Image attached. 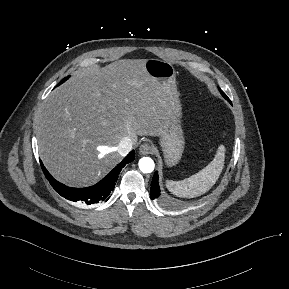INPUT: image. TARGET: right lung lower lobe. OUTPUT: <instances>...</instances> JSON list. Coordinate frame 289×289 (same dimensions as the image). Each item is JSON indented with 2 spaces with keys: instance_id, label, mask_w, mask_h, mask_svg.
I'll use <instances>...</instances> for the list:
<instances>
[{
  "instance_id": "98d812e1",
  "label": "right lung lower lobe",
  "mask_w": 289,
  "mask_h": 289,
  "mask_svg": "<svg viewBox=\"0 0 289 289\" xmlns=\"http://www.w3.org/2000/svg\"><path fill=\"white\" fill-rule=\"evenodd\" d=\"M135 151H131L106 177L97 184L86 188H71L56 181L41 162L42 171L51 186L64 198L87 205L104 201L113 191L122 168L134 160Z\"/></svg>"
}]
</instances>
